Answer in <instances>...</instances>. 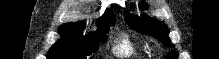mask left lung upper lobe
Wrapping results in <instances>:
<instances>
[{"label": "left lung upper lobe", "instance_id": "1", "mask_svg": "<svg viewBox=\"0 0 219 59\" xmlns=\"http://www.w3.org/2000/svg\"><path fill=\"white\" fill-rule=\"evenodd\" d=\"M140 7L146 8V5L144 3H141ZM124 19L132 29L156 37L165 46H168L170 44V39L168 37L169 31L167 27L157 20L149 18L148 16H141L139 18L138 16L131 15L127 12L124 15ZM168 59H177V54L170 53L168 55Z\"/></svg>", "mask_w": 219, "mask_h": 59}]
</instances>
